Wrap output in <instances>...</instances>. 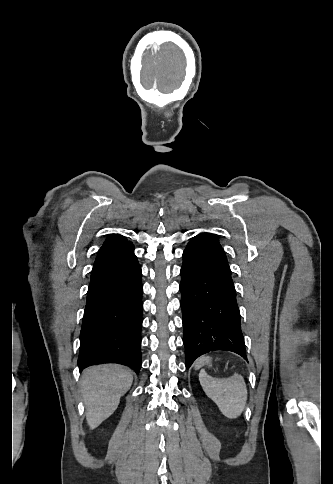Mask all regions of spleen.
<instances>
[{"instance_id": "spleen-1", "label": "spleen", "mask_w": 333, "mask_h": 484, "mask_svg": "<svg viewBox=\"0 0 333 484\" xmlns=\"http://www.w3.org/2000/svg\"><path fill=\"white\" fill-rule=\"evenodd\" d=\"M205 394L217 405L220 412L229 419H235L245 409L247 388L244 378L234 374L227 379L210 377L204 370L199 374Z\"/></svg>"}]
</instances>
